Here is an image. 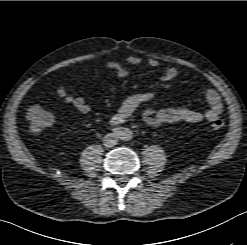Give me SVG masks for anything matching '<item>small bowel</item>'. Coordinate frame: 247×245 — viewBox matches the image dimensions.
<instances>
[{
	"instance_id": "c3829d8e",
	"label": "small bowel",
	"mask_w": 247,
	"mask_h": 245,
	"mask_svg": "<svg viewBox=\"0 0 247 245\" xmlns=\"http://www.w3.org/2000/svg\"><path fill=\"white\" fill-rule=\"evenodd\" d=\"M126 62L131 66H136L141 63V59L137 56H129ZM148 65L156 68L159 66V61L155 58H150ZM105 67L112 70L116 76L121 79H125L129 75L127 68L119 61H108L105 63ZM177 76L178 70L170 66L164 70L161 79L169 82L176 79ZM57 94L65 104L75 107L79 113L85 115L90 112L91 107L88 102L83 97L72 95L66 86H60L57 90ZM204 97L208 105L206 111L201 112L186 107L147 109L143 114V119L148 125L153 127L177 122H213L217 120L223 112L221 97L216 90L211 88L205 91ZM155 98L156 93L152 91L137 92L127 96L112 115L111 123L114 125L123 123L131 117L142 104L153 101Z\"/></svg>"
}]
</instances>
